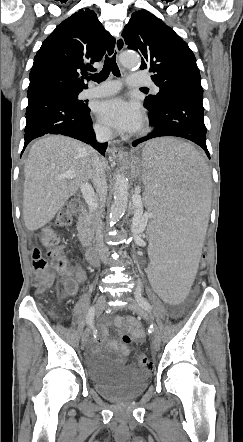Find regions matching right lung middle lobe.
<instances>
[{
    "label": "right lung middle lobe",
    "mask_w": 243,
    "mask_h": 442,
    "mask_svg": "<svg viewBox=\"0 0 243 442\" xmlns=\"http://www.w3.org/2000/svg\"><path fill=\"white\" fill-rule=\"evenodd\" d=\"M77 100H78V94L81 92V91H69ZM78 101H80L81 102V100H78Z\"/></svg>",
    "instance_id": "right-lung-middle-lobe-1"
}]
</instances>
